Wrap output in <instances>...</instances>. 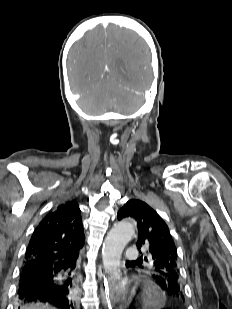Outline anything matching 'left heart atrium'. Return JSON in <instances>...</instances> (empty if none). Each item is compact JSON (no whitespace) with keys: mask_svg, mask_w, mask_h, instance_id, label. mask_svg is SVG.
Returning a JSON list of instances; mask_svg holds the SVG:
<instances>
[{"mask_svg":"<svg viewBox=\"0 0 232 309\" xmlns=\"http://www.w3.org/2000/svg\"><path fill=\"white\" fill-rule=\"evenodd\" d=\"M112 298L116 301L122 300L124 298V291L121 288L113 290Z\"/></svg>","mask_w":232,"mask_h":309,"instance_id":"39dd6f15","label":"left heart atrium"}]
</instances>
